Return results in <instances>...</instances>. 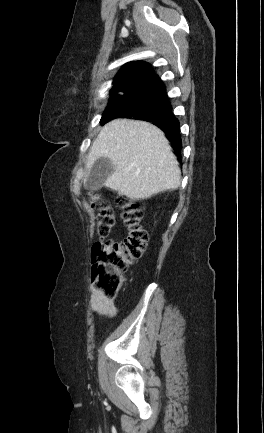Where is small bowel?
<instances>
[{"mask_svg": "<svg viewBox=\"0 0 264 433\" xmlns=\"http://www.w3.org/2000/svg\"><path fill=\"white\" fill-rule=\"evenodd\" d=\"M90 307L95 313L112 318L117 315L115 298L105 297L96 286L91 288Z\"/></svg>", "mask_w": 264, "mask_h": 433, "instance_id": "obj_1", "label": "small bowel"}]
</instances>
